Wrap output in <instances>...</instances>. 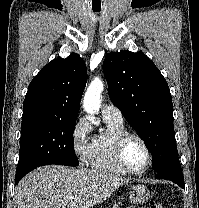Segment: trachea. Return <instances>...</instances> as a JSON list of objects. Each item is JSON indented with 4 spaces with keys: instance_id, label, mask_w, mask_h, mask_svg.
<instances>
[{
    "instance_id": "1",
    "label": "trachea",
    "mask_w": 199,
    "mask_h": 208,
    "mask_svg": "<svg viewBox=\"0 0 199 208\" xmlns=\"http://www.w3.org/2000/svg\"><path fill=\"white\" fill-rule=\"evenodd\" d=\"M93 11H94V12H99V11H100V9H93Z\"/></svg>"
}]
</instances>
